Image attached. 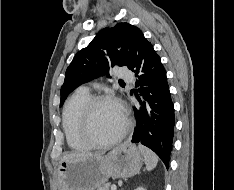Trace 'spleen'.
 <instances>
[{"label":"spleen","instance_id":"spleen-1","mask_svg":"<svg viewBox=\"0 0 234 190\" xmlns=\"http://www.w3.org/2000/svg\"><path fill=\"white\" fill-rule=\"evenodd\" d=\"M138 148L141 151L142 155L144 156L146 169L148 171L153 170L157 166V163H158L157 155L153 151H151L149 148L143 145H138Z\"/></svg>","mask_w":234,"mask_h":190}]
</instances>
